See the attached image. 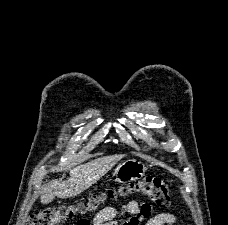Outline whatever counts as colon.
Wrapping results in <instances>:
<instances>
[{"instance_id":"colon-1","label":"colon","mask_w":228,"mask_h":225,"mask_svg":"<svg viewBox=\"0 0 228 225\" xmlns=\"http://www.w3.org/2000/svg\"><path fill=\"white\" fill-rule=\"evenodd\" d=\"M136 188L133 191H140L149 197L159 206H167L171 202V191L169 182L159 177H146L140 182L135 183ZM125 191H131V188H125ZM117 200V197H114ZM100 199L92 197L88 203H79L73 210L79 218L74 221L71 219V213L68 208L60 209L44 208L38 209L31 216L28 225H91L87 216L98 208ZM92 210V211H90Z\"/></svg>"}]
</instances>
